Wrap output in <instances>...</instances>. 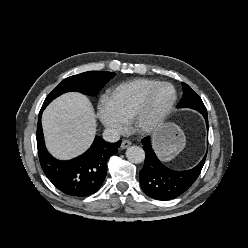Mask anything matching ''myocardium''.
<instances>
[{
	"mask_svg": "<svg viewBox=\"0 0 248 248\" xmlns=\"http://www.w3.org/2000/svg\"><path fill=\"white\" fill-rule=\"evenodd\" d=\"M162 87H170L172 89V99L163 110L150 117V110L153 99L158 90ZM176 101V88L169 82H159L148 91L139 106L135 109L131 118V125L133 129L140 134H150L156 131L162 126V124L170 115L175 106Z\"/></svg>",
	"mask_w": 248,
	"mask_h": 248,
	"instance_id": "f54148a6",
	"label": "myocardium"
}]
</instances>
